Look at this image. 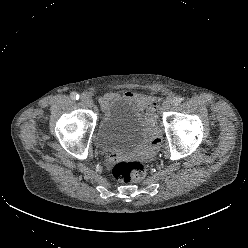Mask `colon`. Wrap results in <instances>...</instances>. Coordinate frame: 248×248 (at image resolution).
<instances>
[{
    "label": "colon",
    "mask_w": 248,
    "mask_h": 248,
    "mask_svg": "<svg viewBox=\"0 0 248 248\" xmlns=\"http://www.w3.org/2000/svg\"><path fill=\"white\" fill-rule=\"evenodd\" d=\"M148 115L154 118V112L150 110ZM147 172V164L142 160L121 161L113 165L112 176L120 183H133L141 180Z\"/></svg>",
    "instance_id": "5ec220e1"
}]
</instances>
